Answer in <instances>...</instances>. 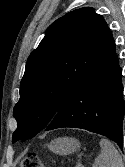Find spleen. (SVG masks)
I'll return each instance as SVG.
<instances>
[{
    "label": "spleen",
    "mask_w": 125,
    "mask_h": 167,
    "mask_svg": "<svg viewBox=\"0 0 125 167\" xmlns=\"http://www.w3.org/2000/svg\"><path fill=\"white\" fill-rule=\"evenodd\" d=\"M101 152L92 167H125L115 146L107 139L100 140Z\"/></svg>",
    "instance_id": "1"
}]
</instances>
